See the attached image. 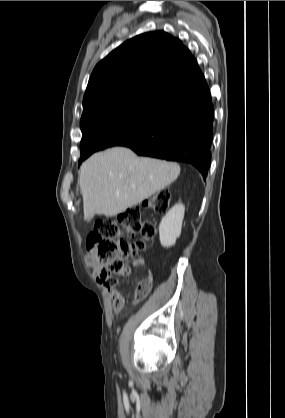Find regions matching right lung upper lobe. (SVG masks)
Masks as SVG:
<instances>
[{
  "label": "right lung upper lobe",
  "instance_id": "right-lung-upper-lobe-1",
  "mask_svg": "<svg viewBox=\"0 0 285 418\" xmlns=\"http://www.w3.org/2000/svg\"><path fill=\"white\" fill-rule=\"evenodd\" d=\"M206 84L181 40L164 31L138 35L94 68L83 98L84 118L99 109L135 100L169 106Z\"/></svg>",
  "mask_w": 285,
  "mask_h": 418
}]
</instances>
